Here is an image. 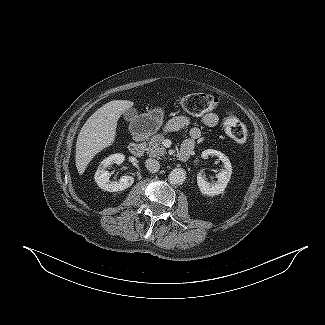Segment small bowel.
<instances>
[{"mask_svg":"<svg viewBox=\"0 0 325 325\" xmlns=\"http://www.w3.org/2000/svg\"><path fill=\"white\" fill-rule=\"evenodd\" d=\"M219 118L215 113H207L202 117V123L209 128H213L218 124ZM190 125V119L186 116H176L170 119L166 124L167 131H178L184 129ZM202 133L197 127L190 129L189 138L185 140L184 144L191 145L193 148L198 139H200ZM183 144V145H184Z\"/></svg>","mask_w":325,"mask_h":325,"instance_id":"1","label":"small bowel"}]
</instances>
